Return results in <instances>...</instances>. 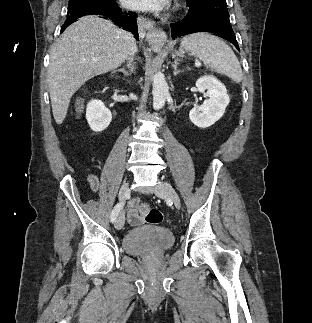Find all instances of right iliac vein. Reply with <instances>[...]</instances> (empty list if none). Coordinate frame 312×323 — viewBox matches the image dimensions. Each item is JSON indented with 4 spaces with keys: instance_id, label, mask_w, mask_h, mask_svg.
Instances as JSON below:
<instances>
[{
    "instance_id": "63e3f726",
    "label": "right iliac vein",
    "mask_w": 312,
    "mask_h": 323,
    "mask_svg": "<svg viewBox=\"0 0 312 323\" xmlns=\"http://www.w3.org/2000/svg\"><path fill=\"white\" fill-rule=\"evenodd\" d=\"M129 183L128 182H124V184L121 186L120 188V191H119V201L120 202H124L125 199L128 197L129 195ZM125 223V216H124V212L121 211L118 215V218L116 220V223H115V228L120 230L123 225Z\"/></svg>"
}]
</instances>
